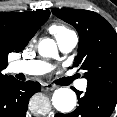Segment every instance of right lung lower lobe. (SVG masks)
Instances as JSON below:
<instances>
[{"label": "right lung lower lobe", "instance_id": "98d812e1", "mask_svg": "<svg viewBox=\"0 0 117 117\" xmlns=\"http://www.w3.org/2000/svg\"><path fill=\"white\" fill-rule=\"evenodd\" d=\"M41 90L33 81L20 82L9 78L0 83V117H26L30 97Z\"/></svg>", "mask_w": 117, "mask_h": 117}]
</instances>
